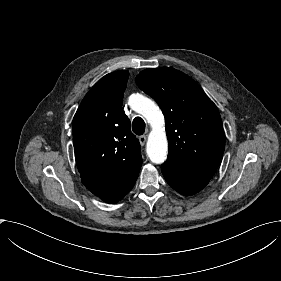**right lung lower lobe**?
<instances>
[{"instance_id": "1", "label": "right lung lower lobe", "mask_w": 281, "mask_h": 281, "mask_svg": "<svg viewBox=\"0 0 281 281\" xmlns=\"http://www.w3.org/2000/svg\"><path fill=\"white\" fill-rule=\"evenodd\" d=\"M141 165L142 161L139 162L115 188L99 198L108 203H116L120 201L134 186Z\"/></svg>"}]
</instances>
